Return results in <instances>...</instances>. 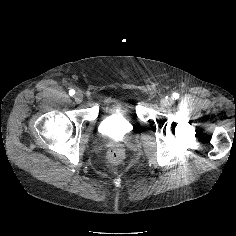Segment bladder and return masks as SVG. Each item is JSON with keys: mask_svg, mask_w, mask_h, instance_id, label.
Returning a JSON list of instances; mask_svg holds the SVG:
<instances>
[{"mask_svg": "<svg viewBox=\"0 0 236 236\" xmlns=\"http://www.w3.org/2000/svg\"><path fill=\"white\" fill-rule=\"evenodd\" d=\"M100 131L109 136H126L136 128V121L128 107L120 108L105 116L100 125Z\"/></svg>", "mask_w": 236, "mask_h": 236, "instance_id": "bladder-1", "label": "bladder"}]
</instances>
